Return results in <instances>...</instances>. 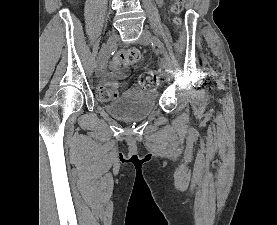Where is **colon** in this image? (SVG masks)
Here are the masks:
<instances>
[{
  "instance_id": "1",
  "label": "colon",
  "mask_w": 277,
  "mask_h": 225,
  "mask_svg": "<svg viewBox=\"0 0 277 225\" xmlns=\"http://www.w3.org/2000/svg\"><path fill=\"white\" fill-rule=\"evenodd\" d=\"M187 0H176L172 11L176 14L182 12ZM176 24L180 23V19L175 20ZM140 59V51L138 49H128L120 51L116 54L113 65L116 67L129 66L136 63ZM160 74L157 71H146L140 76V84L145 89H154L159 83ZM119 87L117 83H108L101 85L97 90L100 100L107 101L118 95Z\"/></svg>"
}]
</instances>
